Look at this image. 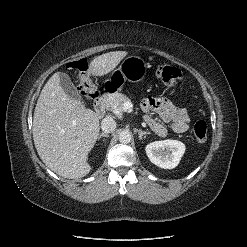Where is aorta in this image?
Wrapping results in <instances>:
<instances>
[{"instance_id": "762f6f07", "label": "aorta", "mask_w": 247, "mask_h": 247, "mask_svg": "<svg viewBox=\"0 0 247 247\" xmlns=\"http://www.w3.org/2000/svg\"><path fill=\"white\" fill-rule=\"evenodd\" d=\"M131 139L132 135L127 131H123L119 134V142L122 144L130 143Z\"/></svg>"}]
</instances>
